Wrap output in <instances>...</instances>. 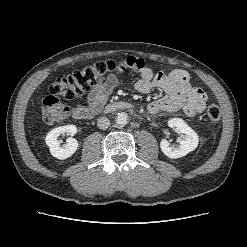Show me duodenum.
Returning a JSON list of instances; mask_svg holds the SVG:
<instances>
[{"label": "duodenum", "mask_w": 247, "mask_h": 247, "mask_svg": "<svg viewBox=\"0 0 247 247\" xmlns=\"http://www.w3.org/2000/svg\"><path fill=\"white\" fill-rule=\"evenodd\" d=\"M132 107H133L132 104L129 102H125V101L112 102L106 105L105 112L110 113L119 110H128L131 109Z\"/></svg>", "instance_id": "duodenum-1"}]
</instances>
